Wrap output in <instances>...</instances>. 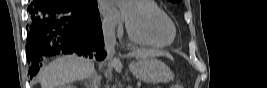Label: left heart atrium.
<instances>
[{
  "label": "left heart atrium",
  "instance_id": "obj_1",
  "mask_svg": "<svg viewBox=\"0 0 267 88\" xmlns=\"http://www.w3.org/2000/svg\"><path fill=\"white\" fill-rule=\"evenodd\" d=\"M103 12L107 15H116L115 8L111 3H105L102 7Z\"/></svg>",
  "mask_w": 267,
  "mask_h": 88
}]
</instances>
